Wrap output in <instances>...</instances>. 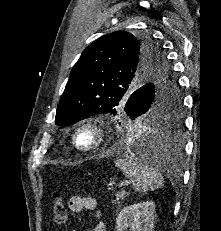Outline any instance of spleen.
<instances>
[{"label":"spleen","mask_w":221,"mask_h":231,"mask_svg":"<svg viewBox=\"0 0 221 231\" xmlns=\"http://www.w3.org/2000/svg\"><path fill=\"white\" fill-rule=\"evenodd\" d=\"M114 164L127 178L132 180L136 192L154 191L163 186L164 180L161 173L146 160H140L131 155L115 160Z\"/></svg>","instance_id":"spleen-1"}]
</instances>
